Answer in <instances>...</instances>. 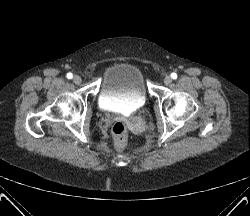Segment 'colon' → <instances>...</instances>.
I'll return each mask as SVG.
<instances>
[{
  "mask_svg": "<svg viewBox=\"0 0 250 216\" xmlns=\"http://www.w3.org/2000/svg\"><path fill=\"white\" fill-rule=\"evenodd\" d=\"M111 131L116 147L120 150L126 149L128 142L126 125L122 121H117L113 124Z\"/></svg>",
  "mask_w": 250,
  "mask_h": 216,
  "instance_id": "obj_1",
  "label": "colon"
}]
</instances>
